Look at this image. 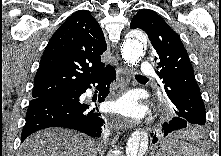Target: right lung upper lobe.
<instances>
[{
	"mask_svg": "<svg viewBox=\"0 0 221 156\" xmlns=\"http://www.w3.org/2000/svg\"><path fill=\"white\" fill-rule=\"evenodd\" d=\"M106 49L103 31L94 17L85 10L73 13L44 50L34 78L33 99L70 94L100 75L108 67L100 60Z\"/></svg>",
	"mask_w": 221,
	"mask_h": 156,
	"instance_id": "obj_1",
	"label": "right lung upper lobe"
}]
</instances>
